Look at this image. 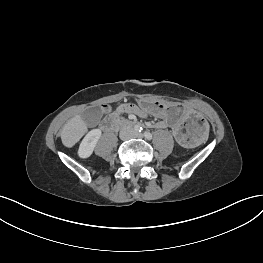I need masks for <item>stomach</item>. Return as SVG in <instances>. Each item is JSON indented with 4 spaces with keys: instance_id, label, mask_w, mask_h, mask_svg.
Listing matches in <instances>:
<instances>
[{
    "instance_id": "obj_1",
    "label": "stomach",
    "mask_w": 263,
    "mask_h": 263,
    "mask_svg": "<svg viewBox=\"0 0 263 263\" xmlns=\"http://www.w3.org/2000/svg\"><path fill=\"white\" fill-rule=\"evenodd\" d=\"M143 113L171 129L174 139L186 149H196L208 135V120L179 103L140 100Z\"/></svg>"
}]
</instances>
